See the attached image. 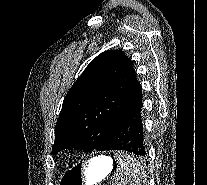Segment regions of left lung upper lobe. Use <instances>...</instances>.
I'll return each mask as SVG.
<instances>
[{
    "label": "left lung upper lobe",
    "instance_id": "1",
    "mask_svg": "<svg viewBox=\"0 0 207 185\" xmlns=\"http://www.w3.org/2000/svg\"><path fill=\"white\" fill-rule=\"evenodd\" d=\"M141 91L132 61L123 51L99 54L64 98L52 154L67 148L102 151L112 126Z\"/></svg>",
    "mask_w": 207,
    "mask_h": 185
}]
</instances>
